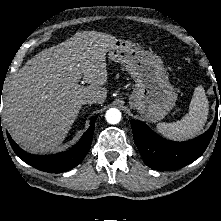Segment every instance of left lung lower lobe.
I'll list each match as a JSON object with an SVG mask.
<instances>
[{"label":"left lung lower lobe","instance_id":"0a47b994","mask_svg":"<svg viewBox=\"0 0 221 221\" xmlns=\"http://www.w3.org/2000/svg\"><path fill=\"white\" fill-rule=\"evenodd\" d=\"M216 117L211 127L202 135L186 142H174L162 138L153 132L146 124L131 120V127L136 146L146 165L159 171H170L182 168L197 158L207 148L217 123ZM221 127V118H220Z\"/></svg>","mask_w":221,"mask_h":221}]
</instances>
